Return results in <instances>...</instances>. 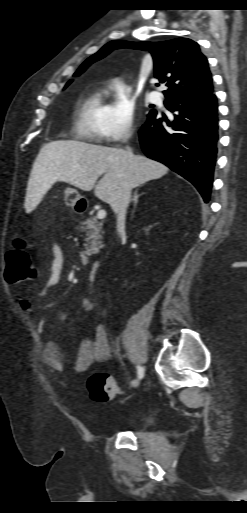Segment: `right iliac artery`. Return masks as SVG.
<instances>
[{"mask_svg":"<svg viewBox=\"0 0 247 513\" xmlns=\"http://www.w3.org/2000/svg\"><path fill=\"white\" fill-rule=\"evenodd\" d=\"M137 373H138L139 379H142L144 376V368L141 366H137Z\"/></svg>","mask_w":247,"mask_h":513,"instance_id":"82829eb1","label":"right iliac artery"}]
</instances>
